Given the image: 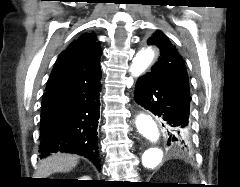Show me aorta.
I'll return each mask as SVG.
<instances>
[{
    "mask_svg": "<svg viewBox=\"0 0 240 187\" xmlns=\"http://www.w3.org/2000/svg\"><path fill=\"white\" fill-rule=\"evenodd\" d=\"M154 51L151 48L141 50L132 60L130 72L132 76H140L151 64L154 58ZM138 132L152 145L148 146L142 154V164L145 168H155L163 158V150L158 145L160 133L154 119L147 114H140L136 118Z\"/></svg>",
    "mask_w": 240,
    "mask_h": 187,
    "instance_id": "obj_1",
    "label": "aorta"
}]
</instances>
